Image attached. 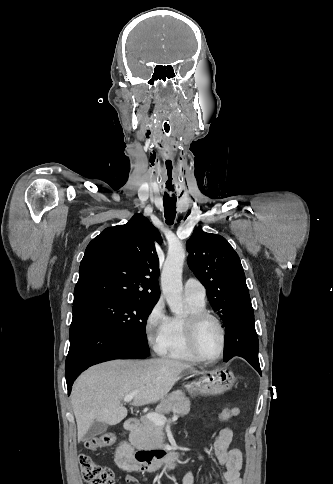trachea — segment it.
Segmentation results:
<instances>
[{
  "label": "trachea",
  "instance_id": "trachea-1",
  "mask_svg": "<svg viewBox=\"0 0 333 484\" xmlns=\"http://www.w3.org/2000/svg\"><path fill=\"white\" fill-rule=\"evenodd\" d=\"M163 139L164 147L163 152L165 153V164H164V183L166 185L165 188V196L163 197V205H164V215L166 219L167 225H172L174 223L175 215H176V202L177 198L174 197L178 191V182H177V172L175 170V156L174 153L171 152V142H172V131L167 123H164V131H163Z\"/></svg>",
  "mask_w": 333,
  "mask_h": 484
}]
</instances>
